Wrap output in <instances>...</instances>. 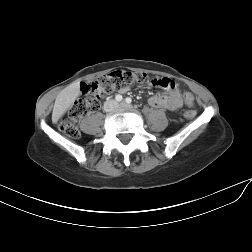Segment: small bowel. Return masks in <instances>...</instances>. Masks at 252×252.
Returning <instances> with one entry per match:
<instances>
[{
    "label": "small bowel",
    "instance_id": "small-bowel-1",
    "mask_svg": "<svg viewBox=\"0 0 252 252\" xmlns=\"http://www.w3.org/2000/svg\"><path fill=\"white\" fill-rule=\"evenodd\" d=\"M153 86L163 88L167 91L165 95H153L148 103L156 109L177 110L182 106L181 95L177 84L170 78H156L153 80Z\"/></svg>",
    "mask_w": 252,
    "mask_h": 252
}]
</instances>
